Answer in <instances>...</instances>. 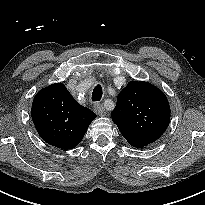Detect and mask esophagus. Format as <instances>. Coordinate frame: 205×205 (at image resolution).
<instances>
[{
  "mask_svg": "<svg viewBox=\"0 0 205 205\" xmlns=\"http://www.w3.org/2000/svg\"><path fill=\"white\" fill-rule=\"evenodd\" d=\"M94 110L100 116H104L106 114L104 105L102 103L95 104L94 105Z\"/></svg>",
  "mask_w": 205,
  "mask_h": 205,
  "instance_id": "34e87169",
  "label": "esophagus"
}]
</instances>
